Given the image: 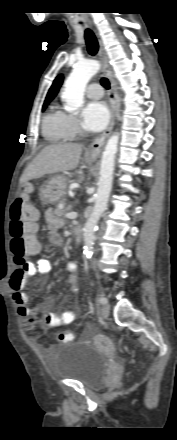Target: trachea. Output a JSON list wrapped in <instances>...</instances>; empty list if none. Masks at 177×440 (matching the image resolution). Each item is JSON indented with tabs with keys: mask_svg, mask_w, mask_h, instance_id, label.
Returning <instances> with one entry per match:
<instances>
[{
	"mask_svg": "<svg viewBox=\"0 0 177 440\" xmlns=\"http://www.w3.org/2000/svg\"><path fill=\"white\" fill-rule=\"evenodd\" d=\"M85 41L89 54L95 55L98 51L99 45L95 34L90 29L85 30ZM101 84L106 89L110 88V83L107 78H102Z\"/></svg>",
	"mask_w": 177,
	"mask_h": 440,
	"instance_id": "trachea-1",
	"label": "trachea"
}]
</instances>
